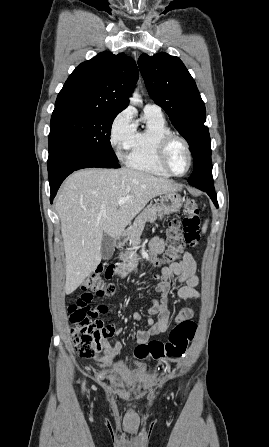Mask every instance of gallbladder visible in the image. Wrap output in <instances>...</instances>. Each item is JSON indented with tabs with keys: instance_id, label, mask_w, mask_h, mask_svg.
I'll use <instances>...</instances> for the list:
<instances>
[{
	"instance_id": "1",
	"label": "gallbladder",
	"mask_w": 269,
	"mask_h": 447,
	"mask_svg": "<svg viewBox=\"0 0 269 447\" xmlns=\"http://www.w3.org/2000/svg\"><path fill=\"white\" fill-rule=\"evenodd\" d=\"M115 251V243L113 237L110 235H103L102 243H101V255L103 259H109L111 255H113Z\"/></svg>"
}]
</instances>
